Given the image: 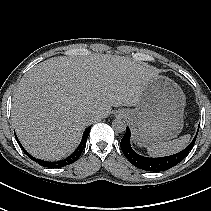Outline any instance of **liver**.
<instances>
[{
    "label": "liver",
    "mask_w": 211,
    "mask_h": 211,
    "mask_svg": "<svg viewBox=\"0 0 211 211\" xmlns=\"http://www.w3.org/2000/svg\"><path fill=\"white\" fill-rule=\"evenodd\" d=\"M157 73L122 56L45 60L22 77L15 91L11 116L16 134L37 158H65L84 129L107 117L112 106H135Z\"/></svg>",
    "instance_id": "liver-1"
}]
</instances>
